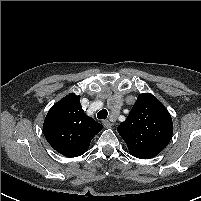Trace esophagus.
I'll return each instance as SVG.
<instances>
[{"mask_svg":"<svg viewBox=\"0 0 201 201\" xmlns=\"http://www.w3.org/2000/svg\"><path fill=\"white\" fill-rule=\"evenodd\" d=\"M103 125L105 128H110L112 126V123L108 120H104L103 121Z\"/></svg>","mask_w":201,"mask_h":201,"instance_id":"obj_1","label":"esophagus"}]
</instances>
